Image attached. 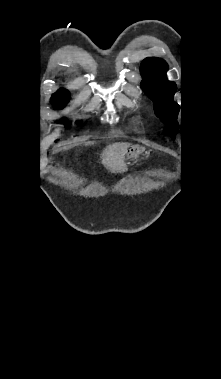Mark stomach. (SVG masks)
I'll return each instance as SVG.
<instances>
[{
  "label": "stomach",
  "instance_id": "1",
  "mask_svg": "<svg viewBox=\"0 0 221 379\" xmlns=\"http://www.w3.org/2000/svg\"><path fill=\"white\" fill-rule=\"evenodd\" d=\"M141 153V149L138 146H129V148L126 150L125 156L127 159H134L139 156Z\"/></svg>",
  "mask_w": 221,
  "mask_h": 379
}]
</instances>
